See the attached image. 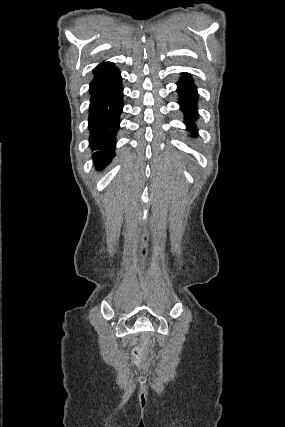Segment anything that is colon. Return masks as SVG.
I'll use <instances>...</instances> for the list:
<instances>
[{"label": "colon", "instance_id": "colon-1", "mask_svg": "<svg viewBox=\"0 0 285 427\" xmlns=\"http://www.w3.org/2000/svg\"><path fill=\"white\" fill-rule=\"evenodd\" d=\"M134 355L136 356V361H137L138 363H140V359H139L140 351H139L138 349H136V350L134 351Z\"/></svg>", "mask_w": 285, "mask_h": 427}]
</instances>
